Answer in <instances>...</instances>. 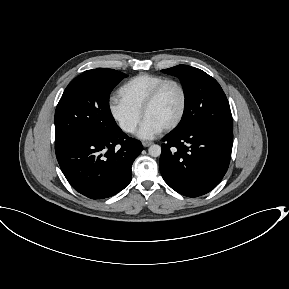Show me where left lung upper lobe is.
<instances>
[{
    "mask_svg": "<svg viewBox=\"0 0 289 289\" xmlns=\"http://www.w3.org/2000/svg\"><path fill=\"white\" fill-rule=\"evenodd\" d=\"M162 72L178 77L185 94L184 113L175 130L207 126L233 131L228 100L213 77L188 65H178Z\"/></svg>",
    "mask_w": 289,
    "mask_h": 289,
    "instance_id": "1",
    "label": "left lung upper lobe"
}]
</instances>
